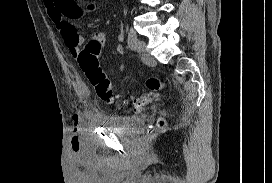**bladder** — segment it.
<instances>
[{"label":"bladder","mask_w":272,"mask_h":183,"mask_svg":"<svg viewBox=\"0 0 272 183\" xmlns=\"http://www.w3.org/2000/svg\"><path fill=\"white\" fill-rule=\"evenodd\" d=\"M101 124L128 133H136L143 125V119L139 116L109 115L102 117Z\"/></svg>","instance_id":"obj_1"}]
</instances>
